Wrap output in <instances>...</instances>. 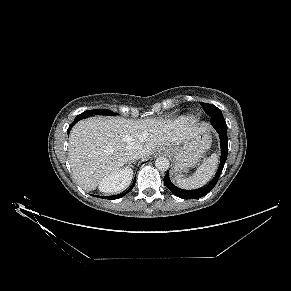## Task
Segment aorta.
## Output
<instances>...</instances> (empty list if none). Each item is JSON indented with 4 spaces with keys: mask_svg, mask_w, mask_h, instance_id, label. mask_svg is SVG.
Wrapping results in <instances>:
<instances>
[{
    "mask_svg": "<svg viewBox=\"0 0 291 291\" xmlns=\"http://www.w3.org/2000/svg\"><path fill=\"white\" fill-rule=\"evenodd\" d=\"M155 166L160 171H166L169 168V161L165 157H158L155 161Z\"/></svg>",
    "mask_w": 291,
    "mask_h": 291,
    "instance_id": "obj_1",
    "label": "aorta"
}]
</instances>
